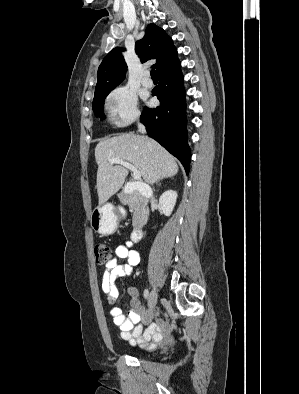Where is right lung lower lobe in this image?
<instances>
[{
  "label": "right lung lower lobe",
  "mask_w": 299,
  "mask_h": 394,
  "mask_svg": "<svg viewBox=\"0 0 299 394\" xmlns=\"http://www.w3.org/2000/svg\"><path fill=\"white\" fill-rule=\"evenodd\" d=\"M157 74L159 84L152 95L157 96L160 106L144 108L140 120L146 126L148 135L177 157L188 174L191 153L187 144L185 91L180 61L177 58Z\"/></svg>",
  "instance_id": "right-lung-lower-lobe-1"
}]
</instances>
